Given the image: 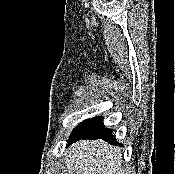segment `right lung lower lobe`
Segmentation results:
<instances>
[{
  "mask_svg": "<svg viewBox=\"0 0 175 174\" xmlns=\"http://www.w3.org/2000/svg\"><path fill=\"white\" fill-rule=\"evenodd\" d=\"M102 117H95L80 123L72 132L68 145L80 139H103L110 144H117L113 137V130L105 128Z\"/></svg>",
  "mask_w": 175,
  "mask_h": 174,
  "instance_id": "right-lung-lower-lobe-1",
  "label": "right lung lower lobe"
}]
</instances>
